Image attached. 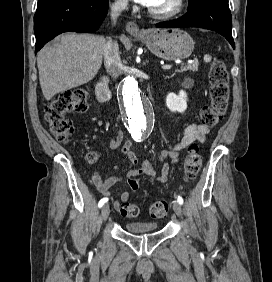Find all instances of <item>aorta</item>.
Wrapping results in <instances>:
<instances>
[{"mask_svg": "<svg viewBox=\"0 0 272 282\" xmlns=\"http://www.w3.org/2000/svg\"><path fill=\"white\" fill-rule=\"evenodd\" d=\"M120 99L123 117L131 136L135 139L148 136L154 124V109L135 77L128 76L123 80Z\"/></svg>", "mask_w": 272, "mask_h": 282, "instance_id": "1", "label": "aorta"}]
</instances>
